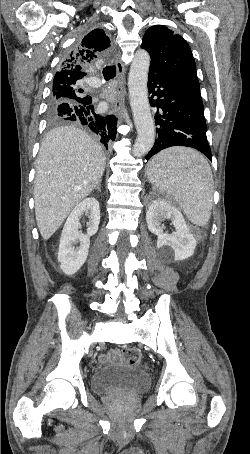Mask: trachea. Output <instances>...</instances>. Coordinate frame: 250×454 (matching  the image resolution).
<instances>
[{
	"instance_id": "3493384b",
	"label": "trachea",
	"mask_w": 250,
	"mask_h": 454,
	"mask_svg": "<svg viewBox=\"0 0 250 454\" xmlns=\"http://www.w3.org/2000/svg\"><path fill=\"white\" fill-rule=\"evenodd\" d=\"M115 75H116V66L115 65L106 66L103 69V76H104L105 80H110V79L114 78Z\"/></svg>"
}]
</instances>
